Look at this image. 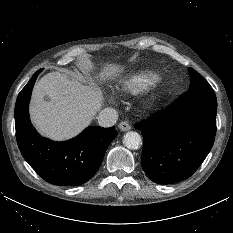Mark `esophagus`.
<instances>
[{
  "instance_id": "obj_1",
  "label": "esophagus",
  "mask_w": 233,
  "mask_h": 233,
  "mask_svg": "<svg viewBox=\"0 0 233 233\" xmlns=\"http://www.w3.org/2000/svg\"><path fill=\"white\" fill-rule=\"evenodd\" d=\"M118 127L121 131H128L131 129V126L128 122L122 121L118 124Z\"/></svg>"
}]
</instances>
